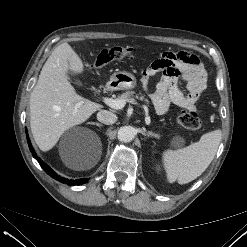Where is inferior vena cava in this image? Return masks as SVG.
Returning <instances> with one entry per match:
<instances>
[{"label":"inferior vena cava","mask_w":247,"mask_h":247,"mask_svg":"<svg viewBox=\"0 0 247 247\" xmlns=\"http://www.w3.org/2000/svg\"><path fill=\"white\" fill-rule=\"evenodd\" d=\"M97 119L103 124L110 125L117 121V116L107 110H101L97 113Z\"/></svg>","instance_id":"obj_1"}]
</instances>
